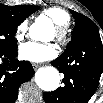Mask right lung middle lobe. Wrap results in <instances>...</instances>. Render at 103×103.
<instances>
[{
    "label": "right lung middle lobe",
    "mask_w": 103,
    "mask_h": 103,
    "mask_svg": "<svg viewBox=\"0 0 103 103\" xmlns=\"http://www.w3.org/2000/svg\"><path fill=\"white\" fill-rule=\"evenodd\" d=\"M38 6H32L30 13L36 12ZM29 15H15L0 5V53L7 54L17 51L15 34L17 26Z\"/></svg>",
    "instance_id": "dd1d6c3e"
}]
</instances>
